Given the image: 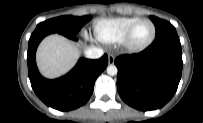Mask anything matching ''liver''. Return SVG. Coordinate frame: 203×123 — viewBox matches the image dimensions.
I'll list each match as a JSON object with an SVG mask.
<instances>
[{"label":"liver","mask_w":203,"mask_h":123,"mask_svg":"<svg viewBox=\"0 0 203 123\" xmlns=\"http://www.w3.org/2000/svg\"><path fill=\"white\" fill-rule=\"evenodd\" d=\"M81 46L58 34L46 37L36 53L41 74L47 78H57L67 73L79 57Z\"/></svg>","instance_id":"6515ba94"}]
</instances>
